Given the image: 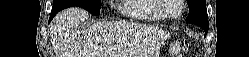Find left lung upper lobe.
Here are the masks:
<instances>
[{"instance_id":"1","label":"left lung upper lobe","mask_w":249,"mask_h":57,"mask_svg":"<svg viewBox=\"0 0 249 57\" xmlns=\"http://www.w3.org/2000/svg\"><path fill=\"white\" fill-rule=\"evenodd\" d=\"M189 15L186 22L196 25H209L205 0H187Z\"/></svg>"}]
</instances>
